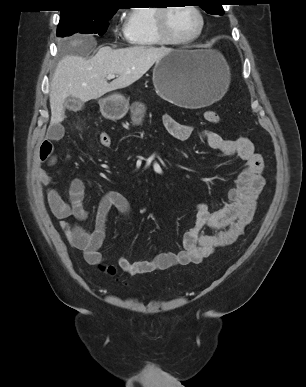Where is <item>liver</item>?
Listing matches in <instances>:
<instances>
[{"label":"liver","mask_w":306,"mask_h":387,"mask_svg":"<svg viewBox=\"0 0 306 387\" xmlns=\"http://www.w3.org/2000/svg\"><path fill=\"white\" fill-rule=\"evenodd\" d=\"M81 44L74 41L73 46ZM172 49L134 46L112 49L104 46L86 59L67 55L59 61L50 86L51 124L64 120L63 104L68 97L82 102L97 99L117 89L126 88L139 80L160 58ZM109 74L116 75L110 83Z\"/></svg>","instance_id":"liver-1"}]
</instances>
